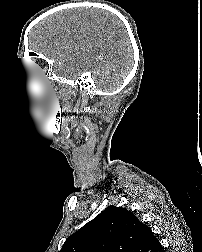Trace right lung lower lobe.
Returning <instances> with one entry per match:
<instances>
[{
	"label": "right lung lower lobe",
	"instance_id": "obj_1",
	"mask_svg": "<svg viewBox=\"0 0 202 252\" xmlns=\"http://www.w3.org/2000/svg\"><path fill=\"white\" fill-rule=\"evenodd\" d=\"M161 251H162V252H165V251H164V248H163V250H161Z\"/></svg>",
	"mask_w": 202,
	"mask_h": 252
}]
</instances>
